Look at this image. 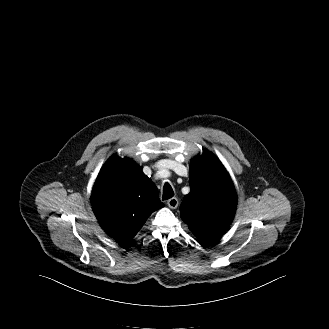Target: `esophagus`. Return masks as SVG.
I'll return each mask as SVG.
<instances>
[{"label":"esophagus","instance_id":"1","mask_svg":"<svg viewBox=\"0 0 329 329\" xmlns=\"http://www.w3.org/2000/svg\"><path fill=\"white\" fill-rule=\"evenodd\" d=\"M167 205H168L171 209H175V208H177L178 205H179L178 199L175 198V197L169 199V200L167 201Z\"/></svg>","mask_w":329,"mask_h":329}]
</instances>
